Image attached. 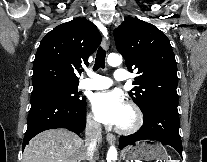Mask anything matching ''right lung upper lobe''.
Listing matches in <instances>:
<instances>
[{
    "instance_id": "right-lung-upper-lobe-1",
    "label": "right lung upper lobe",
    "mask_w": 207,
    "mask_h": 162,
    "mask_svg": "<svg viewBox=\"0 0 207 162\" xmlns=\"http://www.w3.org/2000/svg\"><path fill=\"white\" fill-rule=\"evenodd\" d=\"M101 42L96 26L84 18L63 23L41 41L33 64V88L48 84L78 85L76 72Z\"/></svg>"
}]
</instances>
